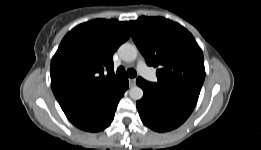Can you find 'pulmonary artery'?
Segmentation results:
<instances>
[{
  "label": "pulmonary artery",
  "mask_w": 261,
  "mask_h": 150,
  "mask_svg": "<svg viewBox=\"0 0 261 150\" xmlns=\"http://www.w3.org/2000/svg\"><path fill=\"white\" fill-rule=\"evenodd\" d=\"M138 70L142 76H144L147 80L155 81V74L146 66L144 61H139Z\"/></svg>",
  "instance_id": "e3ab8cb5"
}]
</instances>
